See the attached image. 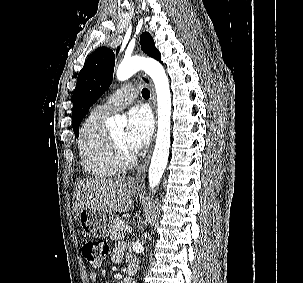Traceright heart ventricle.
<instances>
[{
  "label": "right heart ventricle",
  "mask_w": 303,
  "mask_h": 283,
  "mask_svg": "<svg viewBox=\"0 0 303 283\" xmlns=\"http://www.w3.org/2000/svg\"><path fill=\"white\" fill-rule=\"evenodd\" d=\"M108 116L95 108L80 129L79 152L82 165L95 179H108L119 171L111 154L108 132L105 128Z\"/></svg>",
  "instance_id": "obj_1"
}]
</instances>
